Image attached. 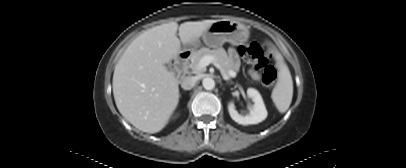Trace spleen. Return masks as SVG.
<instances>
[{
    "label": "spleen",
    "mask_w": 406,
    "mask_h": 168,
    "mask_svg": "<svg viewBox=\"0 0 406 168\" xmlns=\"http://www.w3.org/2000/svg\"><path fill=\"white\" fill-rule=\"evenodd\" d=\"M275 60L278 65V80L272 91L271 98L280 113H285L292 102L293 81L288 66L285 64L283 56L274 51Z\"/></svg>",
    "instance_id": "1"
}]
</instances>
